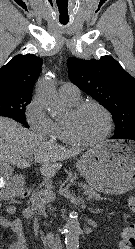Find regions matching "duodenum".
Instances as JSON below:
<instances>
[{
	"instance_id": "duodenum-1",
	"label": "duodenum",
	"mask_w": 135,
	"mask_h": 249,
	"mask_svg": "<svg viewBox=\"0 0 135 249\" xmlns=\"http://www.w3.org/2000/svg\"><path fill=\"white\" fill-rule=\"evenodd\" d=\"M14 190L12 188H8L5 190V196L6 197H12L14 194ZM21 195L24 197H29L32 195V191L29 188H25L21 191Z\"/></svg>"
}]
</instances>
